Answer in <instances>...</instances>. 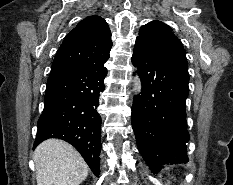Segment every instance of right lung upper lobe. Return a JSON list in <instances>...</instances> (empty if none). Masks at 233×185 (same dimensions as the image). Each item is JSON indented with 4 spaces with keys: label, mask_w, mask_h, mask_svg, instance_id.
<instances>
[{
    "label": "right lung upper lobe",
    "mask_w": 233,
    "mask_h": 185,
    "mask_svg": "<svg viewBox=\"0 0 233 185\" xmlns=\"http://www.w3.org/2000/svg\"><path fill=\"white\" fill-rule=\"evenodd\" d=\"M111 47V32L106 21L100 16H89L65 37L53 61L51 73L103 66Z\"/></svg>",
    "instance_id": "cb5924a9"
}]
</instances>
